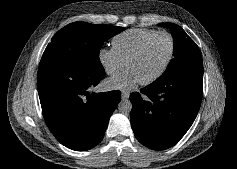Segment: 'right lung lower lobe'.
Here are the masks:
<instances>
[{
	"label": "right lung lower lobe",
	"mask_w": 237,
	"mask_h": 169,
	"mask_svg": "<svg viewBox=\"0 0 237 169\" xmlns=\"http://www.w3.org/2000/svg\"><path fill=\"white\" fill-rule=\"evenodd\" d=\"M104 78V68L39 65L37 84L44 119L67 148L85 151L102 140L110 116L121 100L120 91L89 92Z\"/></svg>",
	"instance_id": "right-lung-lower-lobe-1"
}]
</instances>
